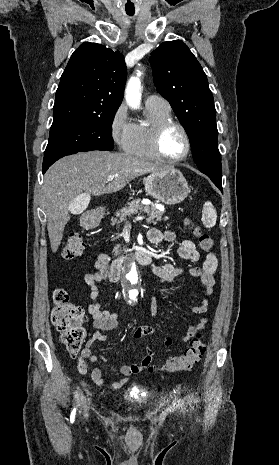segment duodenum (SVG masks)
I'll use <instances>...</instances> for the list:
<instances>
[{"mask_svg":"<svg viewBox=\"0 0 279 465\" xmlns=\"http://www.w3.org/2000/svg\"><path fill=\"white\" fill-rule=\"evenodd\" d=\"M88 225H92V221L89 219L87 221ZM129 258L135 259L142 265H148L151 263V256L149 251L146 248H141L135 252H128V250L123 249L119 252L118 257L112 264L110 280L111 282H117L120 279L121 272L125 261Z\"/></svg>","mask_w":279,"mask_h":465,"instance_id":"duodenum-1","label":"duodenum"}]
</instances>
